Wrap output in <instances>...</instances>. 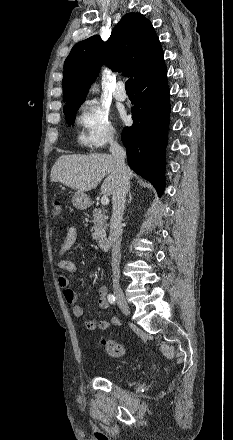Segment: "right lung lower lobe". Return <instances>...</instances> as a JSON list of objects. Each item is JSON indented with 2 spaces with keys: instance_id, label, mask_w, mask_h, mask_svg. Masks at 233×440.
I'll use <instances>...</instances> for the list:
<instances>
[{
  "instance_id": "obj_1",
  "label": "right lung lower lobe",
  "mask_w": 233,
  "mask_h": 440,
  "mask_svg": "<svg viewBox=\"0 0 233 440\" xmlns=\"http://www.w3.org/2000/svg\"><path fill=\"white\" fill-rule=\"evenodd\" d=\"M135 94L133 125L123 129L122 142L131 169L150 181L161 196L170 112L166 66L135 85Z\"/></svg>"
}]
</instances>
